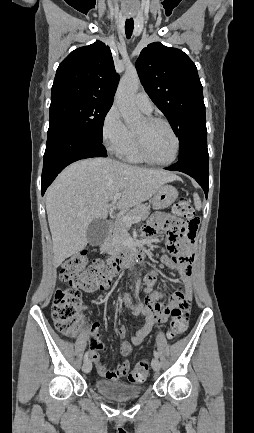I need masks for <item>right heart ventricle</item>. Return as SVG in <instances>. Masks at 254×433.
<instances>
[{
  "label": "right heart ventricle",
  "mask_w": 254,
  "mask_h": 433,
  "mask_svg": "<svg viewBox=\"0 0 254 433\" xmlns=\"http://www.w3.org/2000/svg\"><path fill=\"white\" fill-rule=\"evenodd\" d=\"M131 133H132V137L130 142L128 143V145L125 147V149L121 152L119 156L123 158L125 161L131 163H143L144 160L140 156L136 146L135 135L133 132Z\"/></svg>",
  "instance_id": "right-heart-ventricle-1"
}]
</instances>
